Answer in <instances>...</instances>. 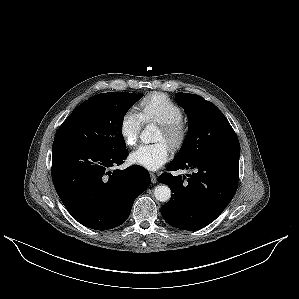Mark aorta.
<instances>
[{
  "label": "aorta",
  "mask_w": 299,
  "mask_h": 299,
  "mask_svg": "<svg viewBox=\"0 0 299 299\" xmlns=\"http://www.w3.org/2000/svg\"><path fill=\"white\" fill-rule=\"evenodd\" d=\"M157 128L154 125H148L141 132L140 138L143 142L154 141ZM154 196L160 202H168L171 198V190L167 185H158L154 189Z\"/></svg>",
  "instance_id": "1"
}]
</instances>
